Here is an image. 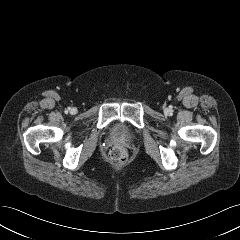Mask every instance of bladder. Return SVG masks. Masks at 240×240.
I'll list each match as a JSON object with an SVG mask.
<instances>
[{
	"mask_svg": "<svg viewBox=\"0 0 240 240\" xmlns=\"http://www.w3.org/2000/svg\"><path fill=\"white\" fill-rule=\"evenodd\" d=\"M112 136L117 139H131L132 133L123 124H117L112 131Z\"/></svg>",
	"mask_w": 240,
	"mask_h": 240,
	"instance_id": "obj_1",
	"label": "bladder"
}]
</instances>
